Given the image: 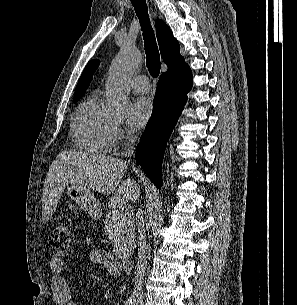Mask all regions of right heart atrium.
Wrapping results in <instances>:
<instances>
[{
  "label": "right heart atrium",
  "mask_w": 297,
  "mask_h": 305,
  "mask_svg": "<svg viewBox=\"0 0 297 305\" xmlns=\"http://www.w3.org/2000/svg\"><path fill=\"white\" fill-rule=\"evenodd\" d=\"M113 132L114 137L119 140L129 141L132 138L131 132L128 131L125 126L119 121L113 122Z\"/></svg>",
  "instance_id": "obj_1"
}]
</instances>
